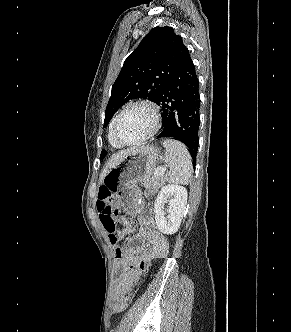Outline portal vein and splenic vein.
Here are the masks:
<instances>
[{
    "instance_id": "obj_1",
    "label": "portal vein and splenic vein",
    "mask_w": 291,
    "mask_h": 332,
    "mask_svg": "<svg viewBox=\"0 0 291 332\" xmlns=\"http://www.w3.org/2000/svg\"><path fill=\"white\" fill-rule=\"evenodd\" d=\"M166 168L165 167H161L159 168L158 172H157V176H163L164 173L166 172Z\"/></svg>"
}]
</instances>
